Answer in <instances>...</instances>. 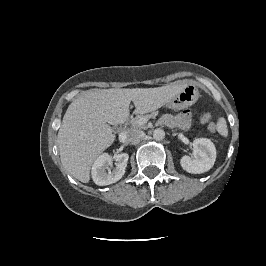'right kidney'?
<instances>
[{"instance_id":"right-kidney-1","label":"right kidney","mask_w":266,"mask_h":266,"mask_svg":"<svg viewBox=\"0 0 266 266\" xmlns=\"http://www.w3.org/2000/svg\"><path fill=\"white\" fill-rule=\"evenodd\" d=\"M128 158L127 153L117 154L114 157L116 167L111 170V157L107 153L100 155L92 166V178L95 184L106 186L120 180L125 173Z\"/></svg>"}]
</instances>
